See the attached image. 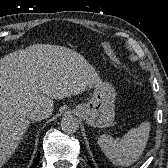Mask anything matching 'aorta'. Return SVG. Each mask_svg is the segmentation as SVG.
Here are the masks:
<instances>
[{
	"instance_id": "1",
	"label": "aorta",
	"mask_w": 168,
	"mask_h": 168,
	"mask_svg": "<svg viewBox=\"0 0 168 168\" xmlns=\"http://www.w3.org/2000/svg\"><path fill=\"white\" fill-rule=\"evenodd\" d=\"M61 129L67 134L76 132L79 128V122L76 117L72 115H66L61 119Z\"/></svg>"
}]
</instances>
